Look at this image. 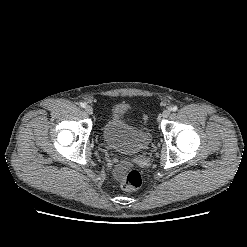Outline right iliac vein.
I'll list each match as a JSON object with an SVG mask.
<instances>
[{
  "label": "right iliac vein",
  "instance_id": "1",
  "mask_svg": "<svg viewBox=\"0 0 247 247\" xmlns=\"http://www.w3.org/2000/svg\"><path fill=\"white\" fill-rule=\"evenodd\" d=\"M85 112L87 114H92L93 113V108L90 105L85 106Z\"/></svg>",
  "mask_w": 247,
  "mask_h": 247
}]
</instances>
